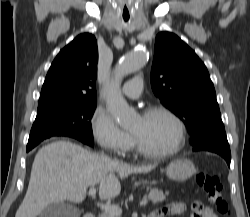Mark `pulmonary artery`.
I'll return each mask as SVG.
<instances>
[{
  "label": "pulmonary artery",
  "instance_id": "1",
  "mask_svg": "<svg viewBox=\"0 0 250 217\" xmlns=\"http://www.w3.org/2000/svg\"><path fill=\"white\" fill-rule=\"evenodd\" d=\"M142 92V77L137 76L127 81L123 88L122 93L129 98H138Z\"/></svg>",
  "mask_w": 250,
  "mask_h": 217
}]
</instances>
